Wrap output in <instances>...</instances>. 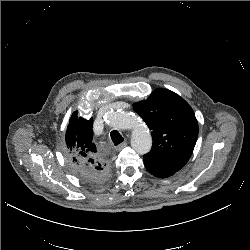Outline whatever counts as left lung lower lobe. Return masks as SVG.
Segmentation results:
<instances>
[{
    "label": "left lung lower lobe",
    "mask_w": 250,
    "mask_h": 250,
    "mask_svg": "<svg viewBox=\"0 0 250 250\" xmlns=\"http://www.w3.org/2000/svg\"><path fill=\"white\" fill-rule=\"evenodd\" d=\"M144 165L146 167V169L154 176L159 177V178H167L171 175H173L175 172L173 171H168V170H163V169H159L156 168L146 162H144Z\"/></svg>",
    "instance_id": "left-lung-lower-lobe-1"
}]
</instances>
